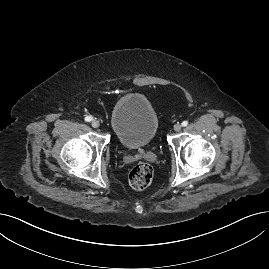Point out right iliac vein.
Instances as JSON below:
<instances>
[{
	"mask_svg": "<svg viewBox=\"0 0 269 269\" xmlns=\"http://www.w3.org/2000/svg\"><path fill=\"white\" fill-rule=\"evenodd\" d=\"M91 125H92V127H94V128H98V127L100 126V123H99V121L94 120V121H92Z\"/></svg>",
	"mask_w": 269,
	"mask_h": 269,
	"instance_id": "right-iliac-vein-1",
	"label": "right iliac vein"
}]
</instances>
